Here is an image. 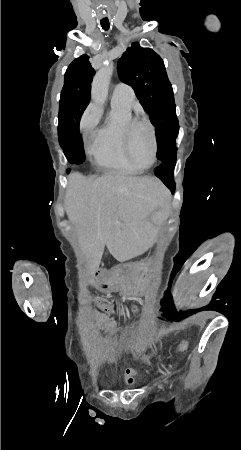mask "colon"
<instances>
[{
  "instance_id": "obj_1",
  "label": "colon",
  "mask_w": 241,
  "mask_h": 450,
  "mask_svg": "<svg viewBox=\"0 0 241 450\" xmlns=\"http://www.w3.org/2000/svg\"><path fill=\"white\" fill-rule=\"evenodd\" d=\"M80 322L82 325L87 326L89 324H94L96 327L100 328L101 332L111 336L112 340L117 342L118 346L123 348L125 352H128L130 350V347L127 345L128 340L124 336L123 333L116 330L114 326L105 323L104 319L100 317L97 313H88L81 317ZM177 352L179 354H184L186 352V349L184 347H179L177 349ZM171 354V353H170ZM146 355V354H145ZM153 355V354H152ZM133 356L135 358H138L140 356V353L138 351H135L133 353Z\"/></svg>"
}]
</instances>
